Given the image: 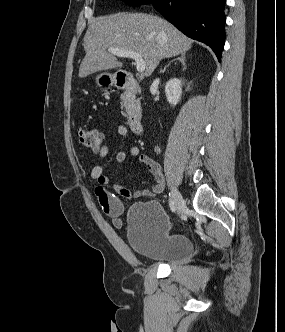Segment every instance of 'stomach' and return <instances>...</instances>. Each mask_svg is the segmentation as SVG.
Masks as SVG:
<instances>
[{"mask_svg":"<svg viewBox=\"0 0 285 332\" xmlns=\"http://www.w3.org/2000/svg\"><path fill=\"white\" fill-rule=\"evenodd\" d=\"M95 82L100 88H109L117 84V75L111 73H100L96 76Z\"/></svg>","mask_w":285,"mask_h":332,"instance_id":"stomach-1","label":"stomach"}]
</instances>
